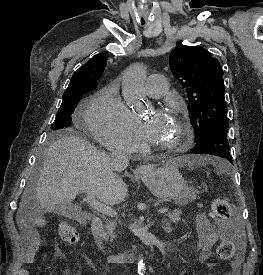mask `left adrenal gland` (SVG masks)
<instances>
[{
	"mask_svg": "<svg viewBox=\"0 0 263 275\" xmlns=\"http://www.w3.org/2000/svg\"><path fill=\"white\" fill-rule=\"evenodd\" d=\"M163 224H164V226H163L164 230L168 231L170 229L169 223L164 221Z\"/></svg>",
	"mask_w": 263,
	"mask_h": 275,
	"instance_id": "left-adrenal-gland-1",
	"label": "left adrenal gland"
}]
</instances>
